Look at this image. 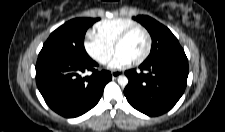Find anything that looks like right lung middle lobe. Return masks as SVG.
Returning <instances> with one entry per match:
<instances>
[{"label": "right lung middle lobe", "mask_w": 225, "mask_h": 132, "mask_svg": "<svg viewBox=\"0 0 225 132\" xmlns=\"http://www.w3.org/2000/svg\"><path fill=\"white\" fill-rule=\"evenodd\" d=\"M98 20V18H76L66 22L51 33L40 53L75 59L88 58L84 48V36L87 29Z\"/></svg>", "instance_id": "right-lung-middle-lobe-1"}]
</instances>
